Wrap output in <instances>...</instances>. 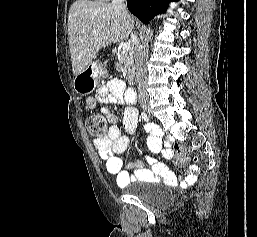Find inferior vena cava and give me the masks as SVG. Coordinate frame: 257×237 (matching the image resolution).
I'll return each instance as SVG.
<instances>
[{"label": "inferior vena cava", "mask_w": 257, "mask_h": 237, "mask_svg": "<svg viewBox=\"0 0 257 237\" xmlns=\"http://www.w3.org/2000/svg\"><path fill=\"white\" fill-rule=\"evenodd\" d=\"M112 4L123 10H126L125 0H113ZM131 40L133 42V54L136 64V83L138 89V97L140 104L147 103L149 101V95L146 90V55L142 50L137 36L131 31Z\"/></svg>", "instance_id": "1"}]
</instances>
